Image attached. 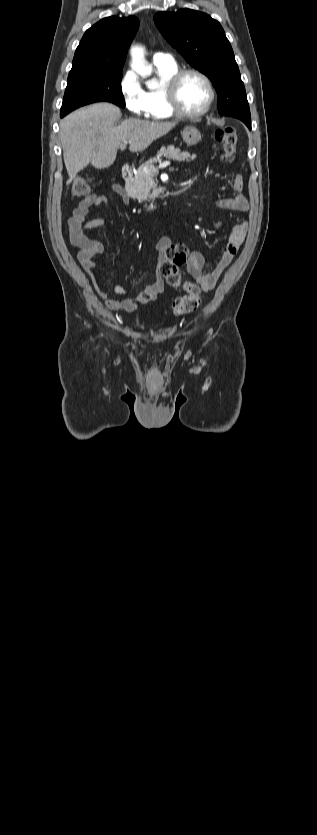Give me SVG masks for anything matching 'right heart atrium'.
Segmentation results:
<instances>
[{"label": "right heart atrium", "instance_id": "right-heart-atrium-1", "mask_svg": "<svg viewBox=\"0 0 317 835\" xmlns=\"http://www.w3.org/2000/svg\"><path fill=\"white\" fill-rule=\"evenodd\" d=\"M119 88L124 104L132 114L148 116L146 94L134 71L127 70L122 75Z\"/></svg>", "mask_w": 317, "mask_h": 835}]
</instances>
